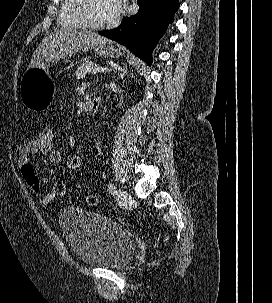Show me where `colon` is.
<instances>
[{
  "instance_id": "1",
  "label": "colon",
  "mask_w": 272,
  "mask_h": 303,
  "mask_svg": "<svg viewBox=\"0 0 272 303\" xmlns=\"http://www.w3.org/2000/svg\"><path fill=\"white\" fill-rule=\"evenodd\" d=\"M36 139L40 142L41 145L45 147L54 148L56 142V130L50 124H45L39 130ZM83 164V158L80 153L72 154L68 159L67 170L69 174H74L78 172ZM22 175L27 182V184L35 189H39V180L34 172V169L31 165L26 164L22 167ZM53 192L58 197H64L67 194V186L64 178L55 182L53 186ZM86 203L94 207L98 203V199L95 195H88L86 197Z\"/></svg>"
}]
</instances>
